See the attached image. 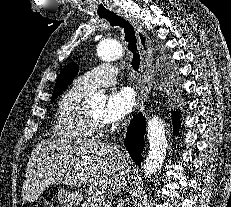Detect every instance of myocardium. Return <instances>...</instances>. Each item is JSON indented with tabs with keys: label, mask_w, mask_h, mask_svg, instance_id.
Instances as JSON below:
<instances>
[{
	"label": "myocardium",
	"mask_w": 231,
	"mask_h": 207,
	"mask_svg": "<svg viewBox=\"0 0 231 207\" xmlns=\"http://www.w3.org/2000/svg\"><path fill=\"white\" fill-rule=\"evenodd\" d=\"M85 116L88 121L94 126V128H96V130L104 127V123L102 122V120L93 118L88 112H85Z\"/></svg>",
	"instance_id": "1"
}]
</instances>
